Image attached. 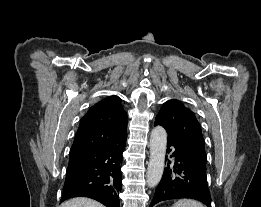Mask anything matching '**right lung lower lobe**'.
Masks as SVG:
<instances>
[{"mask_svg": "<svg viewBox=\"0 0 261 207\" xmlns=\"http://www.w3.org/2000/svg\"><path fill=\"white\" fill-rule=\"evenodd\" d=\"M125 144L126 141L70 158L61 202L72 197H89L107 207H119Z\"/></svg>", "mask_w": 261, "mask_h": 207, "instance_id": "obj_1", "label": "right lung lower lobe"}]
</instances>
